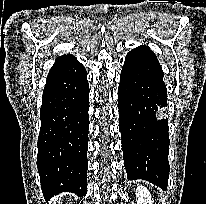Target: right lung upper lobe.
<instances>
[{
  "label": "right lung upper lobe",
  "mask_w": 206,
  "mask_h": 204,
  "mask_svg": "<svg viewBox=\"0 0 206 204\" xmlns=\"http://www.w3.org/2000/svg\"><path fill=\"white\" fill-rule=\"evenodd\" d=\"M73 61H76V59L73 55L68 54V55L60 56L56 59L54 65L50 69V72L54 71V70H57L59 68H62V67L68 65L69 63H71Z\"/></svg>",
  "instance_id": "right-lung-upper-lobe-1"
}]
</instances>
